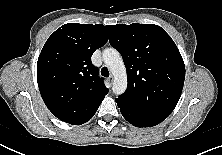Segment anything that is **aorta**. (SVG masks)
<instances>
[{"mask_svg": "<svg viewBox=\"0 0 222 155\" xmlns=\"http://www.w3.org/2000/svg\"><path fill=\"white\" fill-rule=\"evenodd\" d=\"M103 60L114 77L113 92L116 95L124 93L127 89V73L121 55L114 48H106L103 51Z\"/></svg>", "mask_w": 222, "mask_h": 155, "instance_id": "762f6f07", "label": "aorta"}]
</instances>
